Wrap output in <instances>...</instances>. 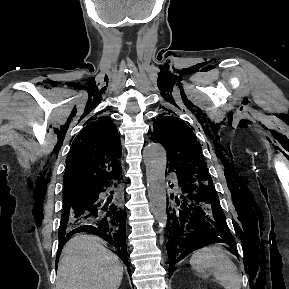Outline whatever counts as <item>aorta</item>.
I'll use <instances>...</instances> for the list:
<instances>
[{"label":"aorta","mask_w":289,"mask_h":289,"mask_svg":"<svg viewBox=\"0 0 289 289\" xmlns=\"http://www.w3.org/2000/svg\"><path fill=\"white\" fill-rule=\"evenodd\" d=\"M151 211L161 228L167 224L165 170L167 155L159 143H149L143 151Z\"/></svg>","instance_id":"aorta-1"}]
</instances>
